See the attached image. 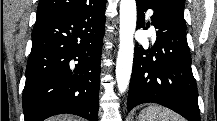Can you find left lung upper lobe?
I'll return each instance as SVG.
<instances>
[{
  "instance_id": "obj_1",
  "label": "left lung upper lobe",
  "mask_w": 217,
  "mask_h": 121,
  "mask_svg": "<svg viewBox=\"0 0 217 121\" xmlns=\"http://www.w3.org/2000/svg\"><path fill=\"white\" fill-rule=\"evenodd\" d=\"M163 4L174 16L179 19L183 24L184 20V0H158ZM186 25V24H185Z\"/></svg>"
}]
</instances>
